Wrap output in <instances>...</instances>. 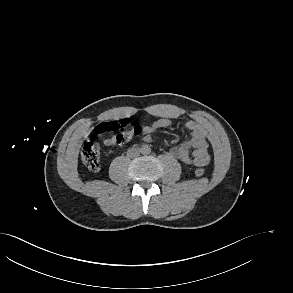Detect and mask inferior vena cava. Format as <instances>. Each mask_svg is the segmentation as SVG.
Segmentation results:
<instances>
[{"label":"inferior vena cava","instance_id":"602c4592","mask_svg":"<svg viewBox=\"0 0 293 293\" xmlns=\"http://www.w3.org/2000/svg\"><path fill=\"white\" fill-rule=\"evenodd\" d=\"M139 154H140V151L138 148H131L127 152L128 157H131V158L136 157Z\"/></svg>","mask_w":293,"mask_h":293}]
</instances>
